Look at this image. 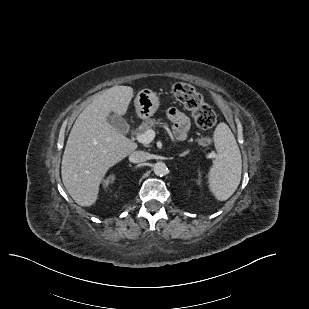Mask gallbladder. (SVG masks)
I'll list each match as a JSON object with an SVG mask.
<instances>
[{"mask_svg": "<svg viewBox=\"0 0 309 309\" xmlns=\"http://www.w3.org/2000/svg\"><path fill=\"white\" fill-rule=\"evenodd\" d=\"M108 122L116 128L119 132L125 133L129 129V124L124 118L116 113H112L107 117Z\"/></svg>", "mask_w": 309, "mask_h": 309, "instance_id": "obj_1", "label": "gallbladder"}]
</instances>
